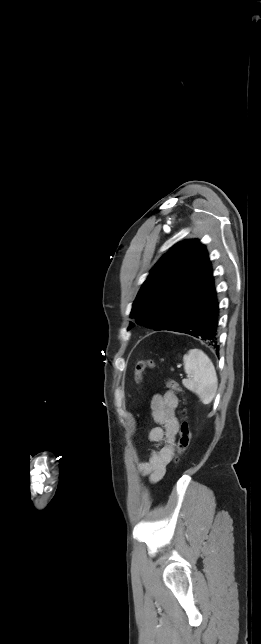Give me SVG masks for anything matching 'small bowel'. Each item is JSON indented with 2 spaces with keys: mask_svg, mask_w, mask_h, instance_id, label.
I'll list each match as a JSON object with an SVG mask.
<instances>
[{
  "mask_svg": "<svg viewBox=\"0 0 261 644\" xmlns=\"http://www.w3.org/2000/svg\"><path fill=\"white\" fill-rule=\"evenodd\" d=\"M151 414L157 424L148 434V439L157 444L148 461L137 464L139 472L151 482L159 481L165 474L166 466L174 455L179 422L176 415L177 396L170 391L155 394L151 399Z\"/></svg>",
  "mask_w": 261,
  "mask_h": 644,
  "instance_id": "1",
  "label": "small bowel"
}]
</instances>
